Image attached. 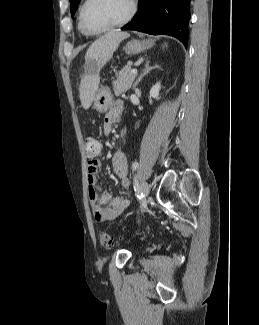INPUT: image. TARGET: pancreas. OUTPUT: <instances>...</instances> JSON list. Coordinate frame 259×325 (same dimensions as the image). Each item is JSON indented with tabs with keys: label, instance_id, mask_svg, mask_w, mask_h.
<instances>
[{
	"label": "pancreas",
	"instance_id": "1",
	"mask_svg": "<svg viewBox=\"0 0 259 325\" xmlns=\"http://www.w3.org/2000/svg\"><path fill=\"white\" fill-rule=\"evenodd\" d=\"M131 70V64H127L117 73V80L113 81V90L116 96L125 93L132 87L136 74H133Z\"/></svg>",
	"mask_w": 259,
	"mask_h": 325
}]
</instances>
